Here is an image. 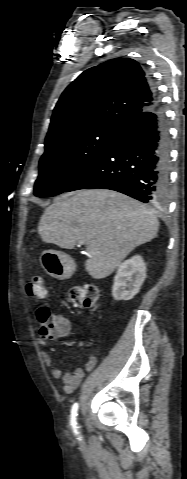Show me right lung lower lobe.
Listing matches in <instances>:
<instances>
[{
	"label": "right lung lower lobe",
	"mask_w": 187,
	"mask_h": 479,
	"mask_svg": "<svg viewBox=\"0 0 187 479\" xmlns=\"http://www.w3.org/2000/svg\"><path fill=\"white\" fill-rule=\"evenodd\" d=\"M169 142L167 119L158 100L129 120L103 154L64 192L104 188L144 203L162 202L169 190Z\"/></svg>",
	"instance_id": "98d812e1"
}]
</instances>
